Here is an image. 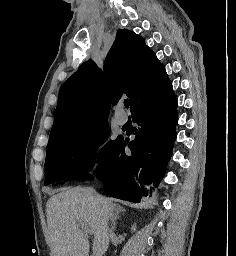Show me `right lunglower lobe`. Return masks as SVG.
Instances as JSON below:
<instances>
[{
    "instance_id": "right-lung-lower-lobe-1",
    "label": "right lung lower lobe",
    "mask_w": 236,
    "mask_h": 256,
    "mask_svg": "<svg viewBox=\"0 0 236 256\" xmlns=\"http://www.w3.org/2000/svg\"><path fill=\"white\" fill-rule=\"evenodd\" d=\"M131 114L139 126L135 139L128 142L120 136L95 171L108 195L138 203L162 180L176 140L177 99L171 81L138 103ZM126 145L131 153H125ZM93 178L89 174L78 179Z\"/></svg>"
}]
</instances>
